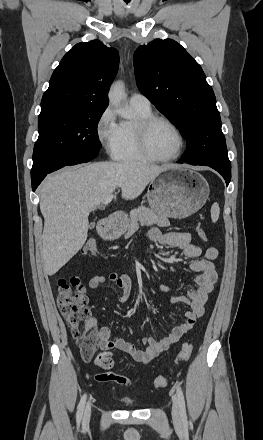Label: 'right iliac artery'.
Here are the masks:
<instances>
[{
	"label": "right iliac artery",
	"instance_id": "obj_1",
	"mask_svg": "<svg viewBox=\"0 0 263 440\" xmlns=\"http://www.w3.org/2000/svg\"><path fill=\"white\" fill-rule=\"evenodd\" d=\"M86 403V394H84L80 400V403L78 405V411H77V422H80L82 419L84 407Z\"/></svg>",
	"mask_w": 263,
	"mask_h": 440
}]
</instances>
